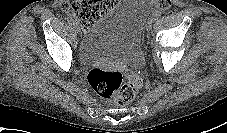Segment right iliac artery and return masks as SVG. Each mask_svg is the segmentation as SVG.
Returning <instances> with one entry per match:
<instances>
[{
  "mask_svg": "<svg viewBox=\"0 0 227 133\" xmlns=\"http://www.w3.org/2000/svg\"><path fill=\"white\" fill-rule=\"evenodd\" d=\"M67 21H68L69 24H75V20H74V18L71 17V16H69V17L67 18Z\"/></svg>",
  "mask_w": 227,
  "mask_h": 133,
  "instance_id": "obj_1",
  "label": "right iliac artery"
}]
</instances>
